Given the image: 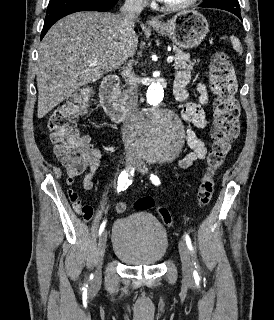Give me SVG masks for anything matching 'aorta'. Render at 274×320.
<instances>
[{"label": "aorta", "instance_id": "762f6f07", "mask_svg": "<svg viewBox=\"0 0 274 320\" xmlns=\"http://www.w3.org/2000/svg\"><path fill=\"white\" fill-rule=\"evenodd\" d=\"M147 103L148 107L137 117L133 125L135 144L147 160H168L182 145V122L167 108L164 88L160 82H152L148 87Z\"/></svg>", "mask_w": 274, "mask_h": 320}]
</instances>
